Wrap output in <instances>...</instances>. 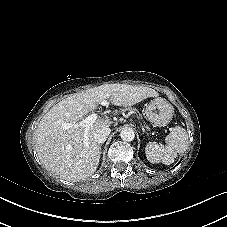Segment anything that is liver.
Returning <instances> with one entry per match:
<instances>
[{
	"label": "liver",
	"mask_w": 227,
	"mask_h": 227,
	"mask_svg": "<svg viewBox=\"0 0 227 227\" xmlns=\"http://www.w3.org/2000/svg\"><path fill=\"white\" fill-rule=\"evenodd\" d=\"M157 96L149 87L107 84L63 99L43 116L34 132L40 162L48 172L66 181L78 182L90 177L97 170L101 154L94 133L109 127L112 121L100 118L89 128L78 126V121L107 101L130 107Z\"/></svg>",
	"instance_id": "obj_1"
}]
</instances>
